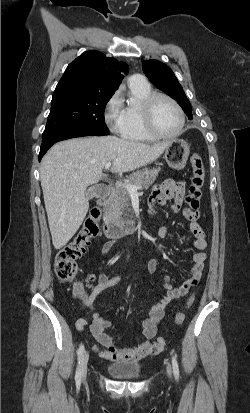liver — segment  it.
I'll use <instances>...</instances> for the list:
<instances>
[{
	"instance_id": "1",
	"label": "liver",
	"mask_w": 250,
	"mask_h": 413,
	"mask_svg": "<svg viewBox=\"0 0 250 413\" xmlns=\"http://www.w3.org/2000/svg\"><path fill=\"white\" fill-rule=\"evenodd\" d=\"M168 145H149L116 136L75 138L55 144L40 167L55 249L64 247L81 226L89 209L87 187L102 179L106 163L112 162V173L129 172L155 161Z\"/></svg>"
}]
</instances>
